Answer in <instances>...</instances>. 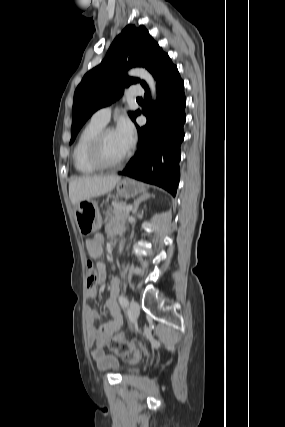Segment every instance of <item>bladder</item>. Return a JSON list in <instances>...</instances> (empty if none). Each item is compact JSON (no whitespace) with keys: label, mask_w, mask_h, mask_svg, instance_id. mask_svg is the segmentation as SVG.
<instances>
[{"label":"bladder","mask_w":285,"mask_h":427,"mask_svg":"<svg viewBox=\"0 0 285 427\" xmlns=\"http://www.w3.org/2000/svg\"><path fill=\"white\" fill-rule=\"evenodd\" d=\"M117 367H118L117 362H114V364L112 365V368H117ZM128 372L133 373V372H136V370L135 369H129Z\"/></svg>","instance_id":"1"}]
</instances>
